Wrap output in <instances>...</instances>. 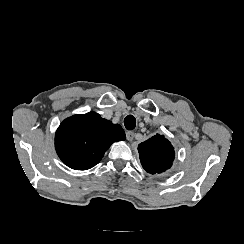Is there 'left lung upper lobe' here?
<instances>
[{
	"mask_svg": "<svg viewBox=\"0 0 244 244\" xmlns=\"http://www.w3.org/2000/svg\"><path fill=\"white\" fill-rule=\"evenodd\" d=\"M143 168L151 174H160L172 166L175 152L171 143L160 134H156L138 145Z\"/></svg>",
	"mask_w": 244,
	"mask_h": 244,
	"instance_id": "1",
	"label": "left lung upper lobe"
}]
</instances>
